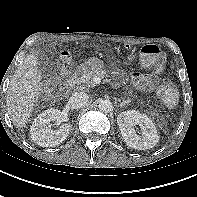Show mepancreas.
Masks as SVG:
<instances>
[{
  "instance_id": "obj_1",
  "label": "pancreas",
  "mask_w": 197,
  "mask_h": 197,
  "mask_svg": "<svg viewBox=\"0 0 197 197\" xmlns=\"http://www.w3.org/2000/svg\"><path fill=\"white\" fill-rule=\"evenodd\" d=\"M98 76L100 78H106L109 76V73L102 69H87L83 72L81 77H79L76 81L78 85H84L86 87L94 86L93 78Z\"/></svg>"
}]
</instances>
